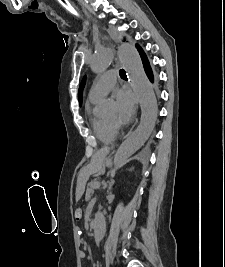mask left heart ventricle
Returning a JSON list of instances; mask_svg holds the SVG:
<instances>
[{
	"label": "left heart ventricle",
	"instance_id": "b2bd125f",
	"mask_svg": "<svg viewBox=\"0 0 225 267\" xmlns=\"http://www.w3.org/2000/svg\"><path fill=\"white\" fill-rule=\"evenodd\" d=\"M114 118H115V116H114V115H111V116H109V118H108V119H109L110 121H113V120H114Z\"/></svg>",
	"mask_w": 225,
	"mask_h": 267
}]
</instances>
